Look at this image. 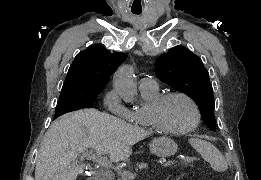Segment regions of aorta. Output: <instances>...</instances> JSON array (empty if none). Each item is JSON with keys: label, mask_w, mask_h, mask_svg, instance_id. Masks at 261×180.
Wrapping results in <instances>:
<instances>
[{"label": "aorta", "mask_w": 261, "mask_h": 180, "mask_svg": "<svg viewBox=\"0 0 261 180\" xmlns=\"http://www.w3.org/2000/svg\"><path fill=\"white\" fill-rule=\"evenodd\" d=\"M133 75V68L129 65L121 66L114 74V87L126 103H132L137 94Z\"/></svg>", "instance_id": "1"}]
</instances>
